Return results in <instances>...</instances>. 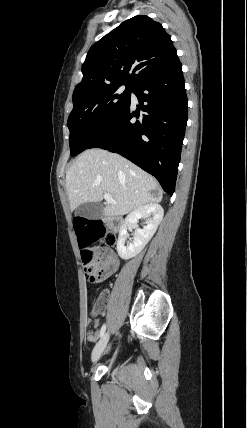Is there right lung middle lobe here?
<instances>
[{
    "mask_svg": "<svg viewBox=\"0 0 247 428\" xmlns=\"http://www.w3.org/2000/svg\"><path fill=\"white\" fill-rule=\"evenodd\" d=\"M134 88L110 87L73 98L68 118L70 153L75 156L89 148L124 112L130 104Z\"/></svg>",
    "mask_w": 247,
    "mask_h": 428,
    "instance_id": "1",
    "label": "right lung middle lobe"
}]
</instances>
